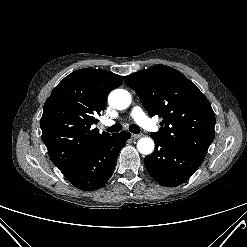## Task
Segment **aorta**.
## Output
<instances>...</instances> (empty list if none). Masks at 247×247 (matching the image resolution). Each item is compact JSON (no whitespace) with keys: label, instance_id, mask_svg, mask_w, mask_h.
Here are the masks:
<instances>
[{"label":"aorta","instance_id":"aorta-1","mask_svg":"<svg viewBox=\"0 0 247 247\" xmlns=\"http://www.w3.org/2000/svg\"><path fill=\"white\" fill-rule=\"evenodd\" d=\"M108 102L113 108L123 110L131 104V95L124 89H115L109 94ZM137 149L141 154H151L154 150V141L150 137H143L138 140Z\"/></svg>","mask_w":247,"mask_h":247}]
</instances>
